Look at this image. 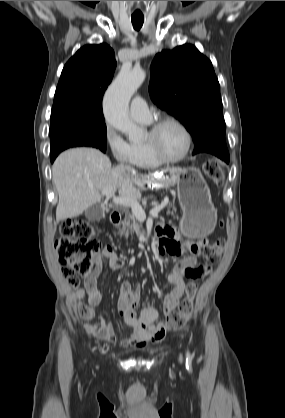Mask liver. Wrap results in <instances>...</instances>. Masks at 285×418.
I'll return each instance as SVG.
<instances>
[{
  "label": "liver",
  "instance_id": "obj_1",
  "mask_svg": "<svg viewBox=\"0 0 285 418\" xmlns=\"http://www.w3.org/2000/svg\"><path fill=\"white\" fill-rule=\"evenodd\" d=\"M180 168L160 173L137 174L125 165L111 166L110 159L94 148L62 152L52 166L53 183L59 195L56 221L74 218L99 202L102 191L118 189L120 197L141 198L143 185L171 187L179 180ZM169 172L170 176L164 173Z\"/></svg>",
  "mask_w": 285,
  "mask_h": 418
}]
</instances>
